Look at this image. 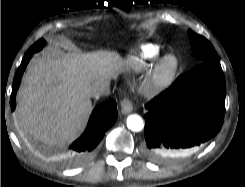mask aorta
Instances as JSON below:
<instances>
[{
  "label": "aorta",
  "instance_id": "1",
  "mask_svg": "<svg viewBox=\"0 0 245 187\" xmlns=\"http://www.w3.org/2000/svg\"><path fill=\"white\" fill-rule=\"evenodd\" d=\"M127 127L131 131L139 132L144 128V122L139 115L133 114L127 118Z\"/></svg>",
  "mask_w": 245,
  "mask_h": 187
}]
</instances>
